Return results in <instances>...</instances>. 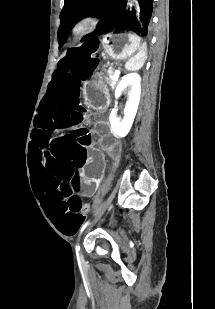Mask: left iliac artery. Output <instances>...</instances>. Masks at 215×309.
<instances>
[{
  "instance_id": "1",
  "label": "left iliac artery",
  "mask_w": 215,
  "mask_h": 309,
  "mask_svg": "<svg viewBox=\"0 0 215 309\" xmlns=\"http://www.w3.org/2000/svg\"><path fill=\"white\" fill-rule=\"evenodd\" d=\"M89 224V221H87L86 223H84L80 229V234L84 231V229L88 226ZM76 252L78 253L80 251V246L79 245H76Z\"/></svg>"
}]
</instances>
